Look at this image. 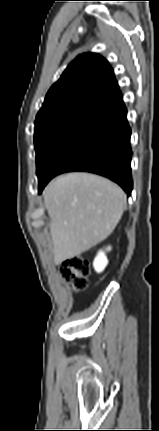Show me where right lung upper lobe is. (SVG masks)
<instances>
[{"instance_id":"1","label":"right lung upper lobe","mask_w":159,"mask_h":431,"mask_svg":"<svg viewBox=\"0 0 159 431\" xmlns=\"http://www.w3.org/2000/svg\"><path fill=\"white\" fill-rule=\"evenodd\" d=\"M123 103L113 70L100 55H79L48 91L36 120L67 115L89 120Z\"/></svg>"}]
</instances>
